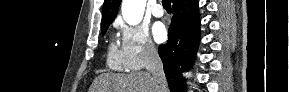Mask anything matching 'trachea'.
Wrapping results in <instances>:
<instances>
[{
    "instance_id": "1",
    "label": "trachea",
    "mask_w": 289,
    "mask_h": 92,
    "mask_svg": "<svg viewBox=\"0 0 289 92\" xmlns=\"http://www.w3.org/2000/svg\"><path fill=\"white\" fill-rule=\"evenodd\" d=\"M162 5L167 12H171V0H163Z\"/></svg>"
}]
</instances>
